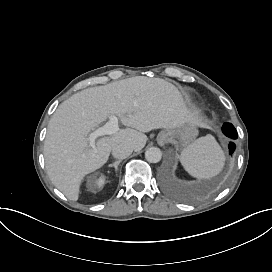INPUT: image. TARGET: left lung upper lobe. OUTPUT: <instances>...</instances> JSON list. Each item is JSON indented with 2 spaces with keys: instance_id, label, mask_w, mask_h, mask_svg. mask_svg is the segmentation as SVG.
<instances>
[{
  "instance_id": "5c2ea615",
  "label": "left lung upper lobe",
  "mask_w": 272,
  "mask_h": 272,
  "mask_svg": "<svg viewBox=\"0 0 272 272\" xmlns=\"http://www.w3.org/2000/svg\"><path fill=\"white\" fill-rule=\"evenodd\" d=\"M222 131H223L224 134L230 133L232 135H237L236 129L230 123H224L223 126H222Z\"/></svg>"
}]
</instances>
